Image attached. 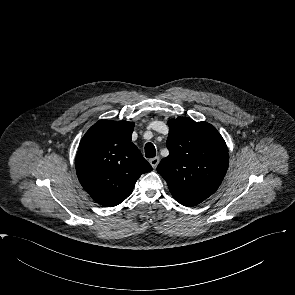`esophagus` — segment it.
<instances>
[{
    "instance_id": "1",
    "label": "esophagus",
    "mask_w": 295,
    "mask_h": 295,
    "mask_svg": "<svg viewBox=\"0 0 295 295\" xmlns=\"http://www.w3.org/2000/svg\"><path fill=\"white\" fill-rule=\"evenodd\" d=\"M159 161H160V158H159V157H154V158H152V159L149 160L151 166H152L154 169L157 167Z\"/></svg>"
}]
</instances>
